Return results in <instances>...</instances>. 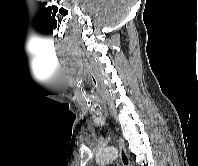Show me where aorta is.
Listing matches in <instances>:
<instances>
[{"label":"aorta","instance_id":"obj_1","mask_svg":"<svg viewBox=\"0 0 198 166\" xmlns=\"http://www.w3.org/2000/svg\"><path fill=\"white\" fill-rule=\"evenodd\" d=\"M118 156L117 148L111 146L100 150L96 155V163L98 166H105L109 162L115 160Z\"/></svg>","mask_w":198,"mask_h":166}]
</instances>
